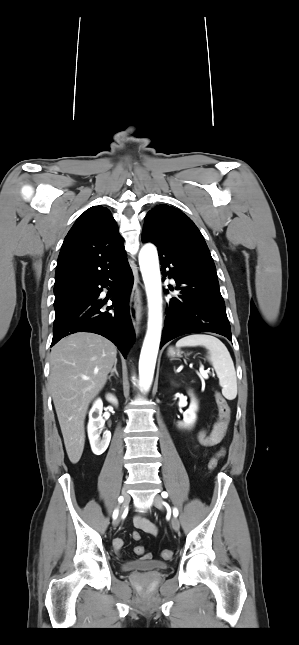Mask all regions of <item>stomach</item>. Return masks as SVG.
<instances>
[{
  "mask_svg": "<svg viewBox=\"0 0 299 645\" xmlns=\"http://www.w3.org/2000/svg\"><path fill=\"white\" fill-rule=\"evenodd\" d=\"M168 356L171 358L179 357L180 356V351L175 350L174 348L170 347L168 349Z\"/></svg>",
  "mask_w": 299,
  "mask_h": 645,
  "instance_id": "1",
  "label": "stomach"
}]
</instances>
